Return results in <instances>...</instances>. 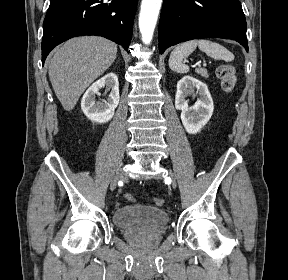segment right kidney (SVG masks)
Wrapping results in <instances>:
<instances>
[{
	"instance_id": "obj_1",
	"label": "right kidney",
	"mask_w": 288,
	"mask_h": 280,
	"mask_svg": "<svg viewBox=\"0 0 288 280\" xmlns=\"http://www.w3.org/2000/svg\"><path fill=\"white\" fill-rule=\"evenodd\" d=\"M105 86V91H110L109 96L105 101H96V95L99 96V90ZM119 99L118 77L115 73H108L87 89L81 100V109L91 121L106 123L113 118Z\"/></svg>"
}]
</instances>
